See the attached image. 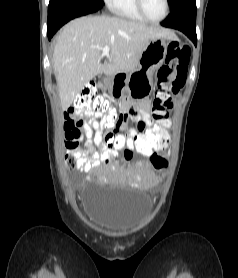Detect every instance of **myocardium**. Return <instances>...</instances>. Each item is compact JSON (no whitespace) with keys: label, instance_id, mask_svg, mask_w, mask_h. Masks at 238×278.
Masks as SVG:
<instances>
[{"label":"myocardium","instance_id":"1","mask_svg":"<svg viewBox=\"0 0 238 278\" xmlns=\"http://www.w3.org/2000/svg\"><path fill=\"white\" fill-rule=\"evenodd\" d=\"M135 1H136V6H137V9H138L139 13L142 15V17L146 21L151 22V23H160V22H162L164 19H166V17L168 16V14L170 12L169 0H164V2H165V13L160 19L155 20V19L150 18L148 16V14L146 13L145 8H144L143 0H135Z\"/></svg>","mask_w":238,"mask_h":278}]
</instances>
